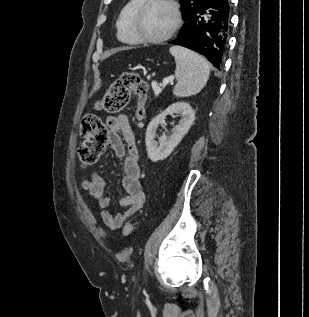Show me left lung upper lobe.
I'll return each instance as SVG.
<instances>
[{
    "mask_svg": "<svg viewBox=\"0 0 309 317\" xmlns=\"http://www.w3.org/2000/svg\"><path fill=\"white\" fill-rule=\"evenodd\" d=\"M203 1L204 0H180L183 17L189 14L194 8H197Z\"/></svg>",
    "mask_w": 309,
    "mask_h": 317,
    "instance_id": "left-lung-upper-lobe-1",
    "label": "left lung upper lobe"
}]
</instances>
